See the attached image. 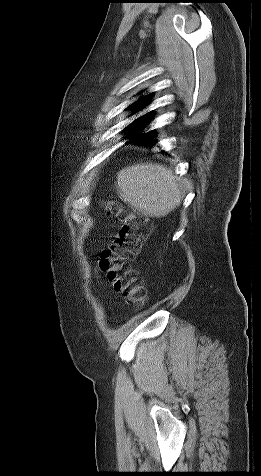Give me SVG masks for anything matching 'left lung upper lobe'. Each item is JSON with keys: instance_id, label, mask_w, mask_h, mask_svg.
<instances>
[{"instance_id": "1", "label": "left lung upper lobe", "mask_w": 261, "mask_h": 476, "mask_svg": "<svg viewBox=\"0 0 261 476\" xmlns=\"http://www.w3.org/2000/svg\"><path fill=\"white\" fill-rule=\"evenodd\" d=\"M149 96H150V94H149V95H146V96H144V97H142V98H140L139 100H137V101H136L135 103H133L132 105H134V106H139V105H141L142 103H144L145 100H147V98H148ZM132 105H131V106H132ZM136 111H138V110H136ZM150 113H151V112H150ZM150 113H147V115L150 114ZM147 115H144L143 117L138 118L136 121H141V119H142V121H143V120H144L143 118H145Z\"/></svg>"}]
</instances>
